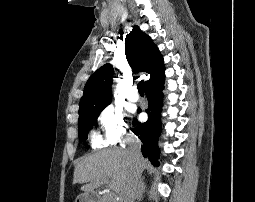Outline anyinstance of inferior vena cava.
<instances>
[{
  "label": "inferior vena cava",
  "instance_id": "obj_1",
  "mask_svg": "<svg viewBox=\"0 0 255 202\" xmlns=\"http://www.w3.org/2000/svg\"><path fill=\"white\" fill-rule=\"evenodd\" d=\"M128 148L126 149L129 157L133 163V168L131 170V175L129 181L125 185L124 189L120 193L119 202H134L137 197L142 196V186L141 181V169L139 167V160L141 157V142L139 139L131 134L127 137Z\"/></svg>",
  "mask_w": 255,
  "mask_h": 202
}]
</instances>
